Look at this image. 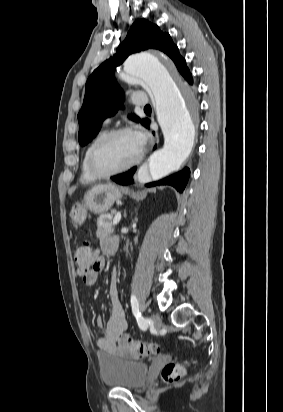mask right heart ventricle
Here are the masks:
<instances>
[{
  "mask_svg": "<svg viewBox=\"0 0 283 412\" xmlns=\"http://www.w3.org/2000/svg\"><path fill=\"white\" fill-rule=\"evenodd\" d=\"M106 133V129L100 130L88 143L87 147L85 148V151L83 153L82 161H81V180L85 182H90L95 180L94 175L91 173L89 167H88V155L89 152L94 145V143L102 137Z\"/></svg>",
  "mask_w": 283,
  "mask_h": 412,
  "instance_id": "obj_1",
  "label": "right heart ventricle"
}]
</instances>
